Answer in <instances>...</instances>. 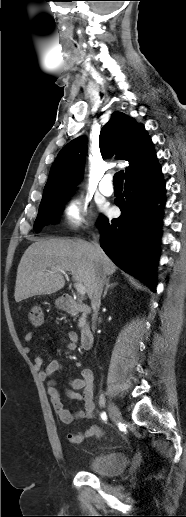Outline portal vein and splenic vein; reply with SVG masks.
Wrapping results in <instances>:
<instances>
[{"mask_svg":"<svg viewBox=\"0 0 186 517\" xmlns=\"http://www.w3.org/2000/svg\"><path fill=\"white\" fill-rule=\"evenodd\" d=\"M51 270L53 271H56V272H61L63 274H66L64 270H61L57 267H51ZM75 288L77 290V292L80 294V295H84L86 293V289H85V286L82 284V283H77L75 285Z\"/></svg>","mask_w":186,"mask_h":517,"instance_id":"obj_1","label":"portal vein and splenic vein"}]
</instances>
